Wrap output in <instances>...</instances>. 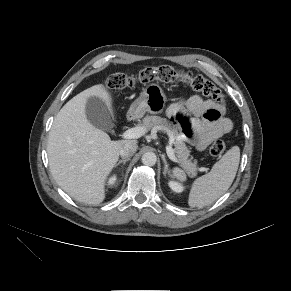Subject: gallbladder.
<instances>
[{"label":"gallbladder","mask_w":291,"mask_h":291,"mask_svg":"<svg viewBox=\"0 0 291 291\" xmlns=\"http://www.w3.org/2000/svg\"><path fill=\"white\" fill-rule=\"evenodd\" d=\"M85 113L88 121L101 130L112 131L113 122L105 102L96 96L87 99Z\"/></svg>","instance_id":"bac80fb5"}]
</instances>
